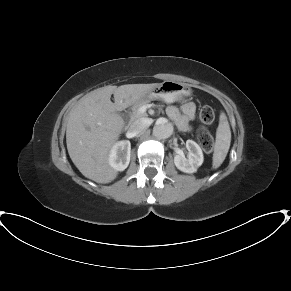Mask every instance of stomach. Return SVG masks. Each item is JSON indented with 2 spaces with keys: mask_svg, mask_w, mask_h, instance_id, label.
Masks as SVG:
<instances>
[{
  "mask_svg": "<svg viewBox=\"0 0 291 291\" xmlns=\"http://www.w3.org/2000/svg\"><path fill=\"white\" fill-rule=\"evenodd\" d=\"M191 89L181 83L174 81H164L163 83L155 85L148 93L146 98H163L165 101H173L178 95H190Z\"/></svg>",
  "mask_w": 291,
  "mask_h": 291,
  "instance_id": "1",
  "label": "stomach"
}]
</instances>
